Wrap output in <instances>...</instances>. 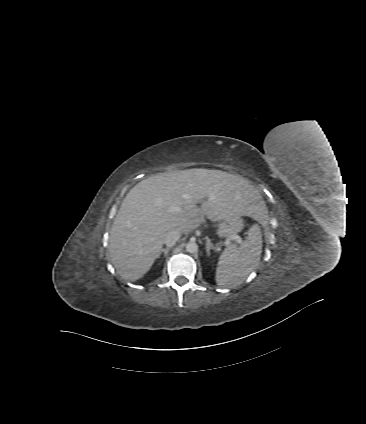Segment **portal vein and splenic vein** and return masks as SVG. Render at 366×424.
I'll use <instances>...</instances> for the list:
<instances>
[{
  "instance_id": "18ae733b",
  "label": "portal vein and splenic vein",
  "mask_w": 366,
  "mask_h": 424,
  "mask_svg": "<svg viewBox=\"0 0 366 424\" xmlns=\"http://www.w3.org/2000/svg\"><path fill=\"white\" fill-rule=\"evenodd\" d=\"M168 211L169 212H178V211H180V208L177 207V206H171V207H169ZM229 239L230 240H234V241H236L239 244H241L243 242L242 239H241V237L238 236V235H232V236H230Z\"/></svg>"
}]
</instances>
